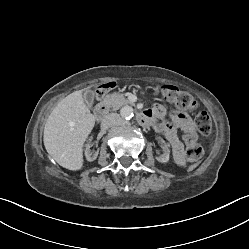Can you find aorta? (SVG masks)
Instances as JSON below:
<instances>
[{
    "instance_id": "762f6f07",
    "label": "aorta",
    "mask_w": 249,
    "mask_h": 249,
    "mask_svg": "<svg viewBox=\"0 0 249 249\" xmlns=\"http://www.w3.org/2000/svg\"><path fill=\"white\" fill-rule=\"evenodd\" d=\"M121 116L123 119L129 120L133 117V109L130 106L124 107L121 110Z\"/></svg>"
}]
</instances>
